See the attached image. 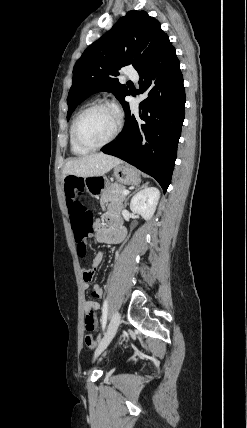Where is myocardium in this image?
<instances>
[{
  "instance_id": "myocardium-1",
  "label": "myocardium",
  "mask_w": 247,
  "mask_h": 428,
  "mask_svg": "<svg viewBox=\"0 0 247 428\" xmlns=\"http://www.w3.org/2000/svg\"><path fill=\"white\" fill-rule=\"evenodd\" d=\"M96 108H104V109H108V110L112 111L115 115L116 123H115L114 130L108 139H106L105 141H103L99 144H89V143L84 142L79 137L78 124H79V121L81 120V118L87 112H89L93 109H96ZM121 129H122V117H121L120 113L118 112V110L109 102L98 101V102H94V103L88 105L87 107H85L83 110H81L77 114V116L75 117L73 124H72V136H73L75 143L78 146H80L84 149H87V150H97V149H100V148L107 146L108 144L112 143L117 138V136L119 135Z\"/></svg>"
}]
</instances>
